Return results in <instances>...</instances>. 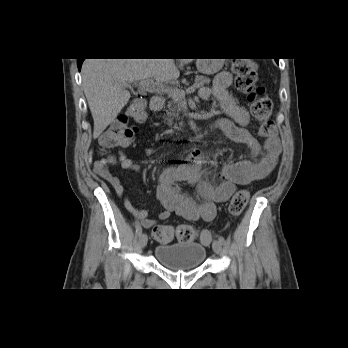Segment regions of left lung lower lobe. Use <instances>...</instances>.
<instances>
[{"label": "left lung lower lobe", "mask_w": 348, "mask_h": 348, "mask_svg": "<svg viewBox=\"0 0 348 348\" xmlns=\"http://www.w3.org/2000/svg\"><path fill=\"white\" fill-rule=\"evenodd\" d=\"M275 61L278 63V59H275Z\"/></svg>", "instance_id": "1"}]
</instances>
